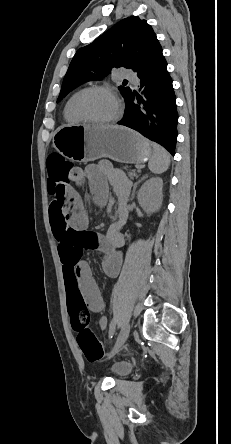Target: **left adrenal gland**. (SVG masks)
Listing matches in <instances>:
<instances>
[{"instance_id": "left-adrenal-gland-1", "label": "left adrenal gland", "mask_w": 231, "mask_h": 444, "mask_svg": "<svg viewBox=\"0 0 231 444\" xmlns=\"http://www.w3.org/2000/svg\"><path fill=\"white\" fill-rule=\"evenodd\" d=\"M145 178H147V175H146V176H143L140 180H138V181L134 184L131 200L134 198V193H135V189H136V187H137V184L140 183V182H141L142 180H144Z\"/></svg>"}]
</instances>
